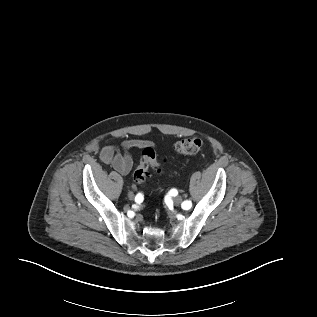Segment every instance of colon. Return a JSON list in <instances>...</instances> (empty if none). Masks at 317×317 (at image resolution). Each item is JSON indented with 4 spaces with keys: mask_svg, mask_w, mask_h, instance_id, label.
Masks as SVG:
<instances>
[{
    "mask_svg": "<svg viewBox=\"0 0 317 317\" xmlns=\"http://www.w3.org/2000/svg\"><path fill=\"white\" fill-rule=\"evenodd\" d=\"M201 145L202 141L200 138L188 137L178 141L174 148L175 151L180 154L192 155L200 150ZM149 168H152L155 171H160L161 161L151 147H146L141 153L139 165L134 172V181L138 184L145 183Z\"/></svg>",
    "mask_w": 317,
    "mask_h": 317,
    "instance_id": "5ec220e1",
    "label": "colon"
}]
</instances>
